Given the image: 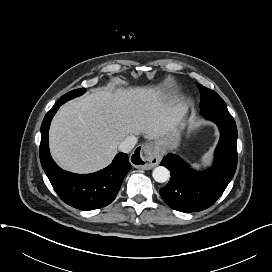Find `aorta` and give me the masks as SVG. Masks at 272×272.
<instances>
[{
	"label": "aorta",
	"mask_w": 272,
	"mask_h": 272,
	"mask_svg": "<svg viewBox=\"0 0 272 272\" xmlns=\"http://www.w3.org/2000/svg\"><path fill=\"white\" fill-rule=\"evenodd\" d=\"M152 176L156 182L164 183L169 180L170 171L164 166H158L153 170Z\"/></svg>",
	"instance_id": "obj_1"
}]
</instances>
